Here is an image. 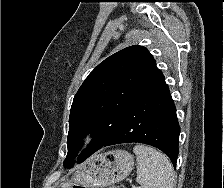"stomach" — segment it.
Returning a JSON list of instances; mask_svg holds the SVG:
<instances>
[{"instance_id":"1","label":"stomach","mask_w":224,"mask_h":188,"mask_svg":"<svg viewBox=\"0 0 224 188\" xmlns=\"http://www.w3.org/2000/svg\"><path fill=\"white\" fill-rule=\"evenodd\" d=\"M134 166L133 156L124 150L96 154L82 163L71 179H62L58 188H104L125 179Z\"/></svg>"}]
</instances>
